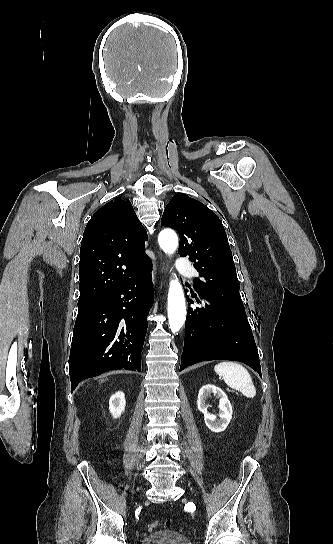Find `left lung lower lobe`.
Masks as SVG:
<instances>
[{
	"mask_svg": "<svg viewBox=\"0 0 333 544\" xmlns=\"http://www.w3.org/2000/svg\"><path fill=\"white\" fill-rule=\"evenodd\" d=\"M192 297L201 303L195 294ZM200 297L203 307L189 308L187 312L180 371L201 361L224 359L243 362L261 376L258 350L247 318Z\"/></svg>",
	"mask_w": 333,
	"mask_h": 544,
	"instance_id": "obj_1",
	"label": "left lung lower lobe"
}]
</instances>
